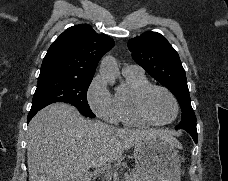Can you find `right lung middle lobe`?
<instances>
[{
	"mask_svg": "<svg viewBox=\"0 0 228 181\" xmlns=\"http://www.w3.org/2000/svg\"><path fill=\"white\" fill-rule=\"evenodd\" d=\"M92 79H71L61 76L39 77L32 100V110H40L55 102L70 103L90 118L95 115L87 102V90Z\"/></svg>",
	"mask_w": 228,
	"mask_h": 181,
	"instance_id": "1",
	"label": "right lung middle lobe"
}]
</instances>
